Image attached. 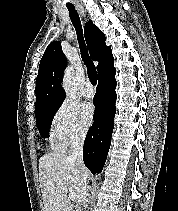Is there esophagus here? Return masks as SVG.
<instances>
[{
    "label": "esophagus",
    "mask_w": 178,
    "mask_h": 211,
    "mask_svg": "<svg viewBox=\"0 0 178 211\" xmlns=\"http://www.w3.org/2000/svg\"><path fill=\"white\" fill-rule=\"evenodd\" d=\"M79 11H80V13H81L82 16H85V11H84V9H79Z\"/></svg>",
    "instance_id": "obj_1"
}]
</instances>
